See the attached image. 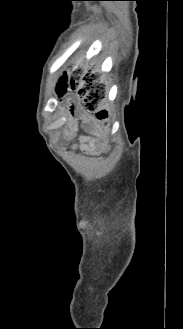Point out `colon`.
Instances as JSON below:
<instances>
[{
	"mask_svg": "<svg viewBox=\"0 0 183 329\" xmlns=\"http://www.w3.org/2000/svg\"><path fill=\"white\" fill-rule=\"evenodd\" d=\"M62 71L67 73L69 68L75 67L74 61H61ZM71 86V88H70ZM71 89L76 92H70ZM104 86L102 84H95L93 78L89 73L78 71L72 84L69 81H60L58 86H53V93H57V99H62L65 103V109H89L96 111L103 99ZM83 101V102H82ZM99 120L106 119L105 111H98L96 114Z\"/></svg>",
	"mask_w": 183,
	"mask_h": 329,
	"instance_id": "colon-1",
	"label": "colon"
}]
</instances>
